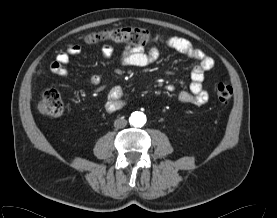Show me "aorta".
<instances>
[{
    "mask_svg": "<svg viewBox=\"0 0 277 218\" xmlns=\"http://www.w3.org/2000/svg\"><path fill=\"white\" fill-rule=\"evenodd\" d=\"M129 122L134 127H142L146 123V116L139 111L133 112L129 118Z\"/></svg>",
    "mask_w": 277,
    "mask_h": 218,
    "instance_id": "aorta-1",
    "label": "aorta"
}]
</instances>
